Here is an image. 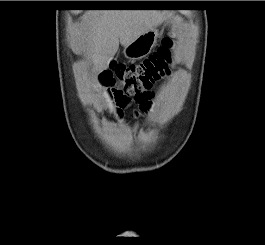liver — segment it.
Here are the masks:
<instances>
[{
  "label": "liver",
  "instance_id": "6515ba94",
  "mask_svg": "<svg viewBox=\"0 0 265 245\" xmlns=\"http://www.w3.org/2000/svg\"><path fill=\"white\" fill-rule=\"evenodd\" d=\"M84 19L81 33L84 57L101 71L108 68L119 42L128 46L158 26L164 14L155 10H103L88 12Z\"/></svg>",
  "mask_w": 265,
  "mask_h": 245
}]
</instances>
